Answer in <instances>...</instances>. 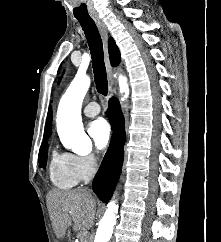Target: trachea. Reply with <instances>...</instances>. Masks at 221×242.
<instances>
[{"label":"trachea","instance_id":"1","mask_svg":"<svg viewBox=\"0 0 221 242\" xmlns=\"http://www.w3.org/2000/svg\"><path fill=\"white\" fill-rule=\"evenodd\" d=\"M77 20L82 26L89 45L96 89L98 93L106 96L108 93V81L104 63L103 44L100 33L93 19L77 18Z\"/></svg>","mask_w":221,"mask_h":242}]
</instances>
